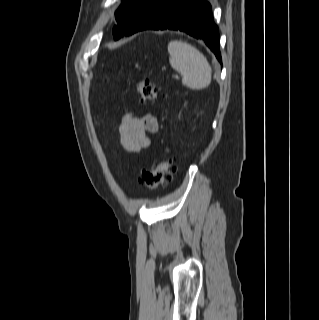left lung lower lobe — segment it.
Here are the masks:
<instances>
[{
    "mask_svg": "<svg viewBox=\"0 0 319 320\" xmlns=\"http://www.w3.org/2000/svg\"><path fill=\"white\" fill-rule=\"evenodd\" d=\"M180 30L203 41L221 63L218 27L205 0H158L130 27L126 36L142 30Z\"/></svg>",
    "mask_w": 319,
    "mask_h": 320,
    "instance_id": "0a47b994",
    "label": "left lung lower lobe"
}]
</instances>
